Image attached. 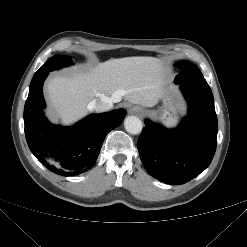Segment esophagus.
Listing matches in <instances>:
<instances>
[{
  "label": "esophagus",
  "instance_id": "34e87169",
  "mask_svg": "<svg viewBox=\"0 0 247 247\" xmlns=\"http://www.w3.org/2000/svg\"><path fill=\"white\" fill-rule=\"evenodd\" d=\"M130 114H143L144 110L142 107L139 106H133L129 109Z\"/></svg>",
  "mask_w": 247,
  "mask_h": 247
}]
</instances>
